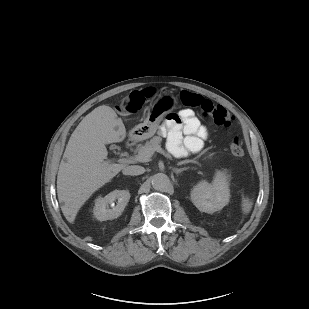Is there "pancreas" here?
Instances as JSON below:
<instances>
[{
	"label": "pancreas",
	"instance_id": "1",
	"mask_svg": "<svg viewBox=\"0 0 309 309\" xmlns=\"http://www.w3.org/2000/svg\"><path fill=\"white\" fill-rule=\"evenodd\" d=\"M162 142V138L159 136H154L150 141L146 142L144 145L138 148L139 152L143 151H150L154 152L156 148L160 147V144ZM206 153V151H202L200 155ZM214 155V153H211L209 155V158H211Z\"/></svg>",
	"mask_w": 309,
	"mask_h": 309
}]
</instances>
